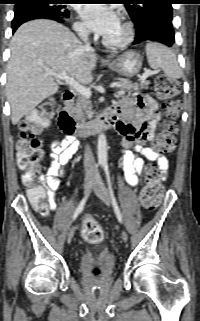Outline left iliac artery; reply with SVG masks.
Instances as JSON below:
<instances>
[{
    "label": "left iliac artery",
    "instance_id": "44dca946",
    "mask_svg": "<svg viewBox=\"0 0 200 321\" xmlns=\"http://www.w3.org/2000/svg\"><path fill=\"white\" fill-rule=\"evenodd\" d=\"M103 168H104V170H105V174H106V177H107V182H108V187H109V193H110V196H111V199H112V203H113V206H114L115 214H116L119 222L122 223V222H123V220H122V214H121V212H120V209H119V207H118V204H117V201H116V198H115L113 189H112L111 180H110V175H109V169H108V164H107V163H103Z\"/></svg>",
    "mask_w": 200,
    "mask_h": 321
}]
</instances>
